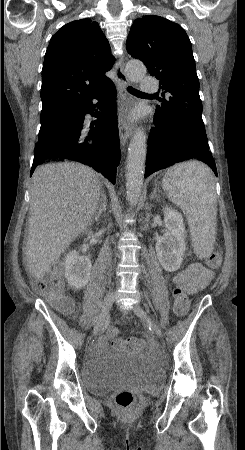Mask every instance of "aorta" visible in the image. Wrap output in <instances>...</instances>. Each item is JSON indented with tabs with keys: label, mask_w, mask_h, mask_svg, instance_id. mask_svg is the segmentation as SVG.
I'll list each match as a JSON object with an SVG mask.
<instances>
[{
	"label": "aorta",
	"mask_w": 245,
	"mask_h": 450,
	"mask_svg": "<svg viewBox=\"0 0 245 450\" xmlns=\"http://www.w3.org/2000/svg\"><path fill=\"white\" fill-rule=\"evenodd\" d=\"M125 70L132 82H138L146 75L145 65L138 60L128 61ZM145 161L146 135L142 128H138L129 144L126 166V194L130 206H135L141 195Z\"/></svg>",
	"instance_id": "aorta-1"
}]
</instances>
